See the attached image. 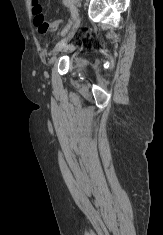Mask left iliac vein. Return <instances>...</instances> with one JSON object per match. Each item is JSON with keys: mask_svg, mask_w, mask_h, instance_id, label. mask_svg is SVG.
<instances>
[{"mask_svg": "<svg viewBox=\"0 0 163 235\" xmlns=\"http://www.w3.org/2000/svg\"><path fill=\"white\" fill-rule=\"evenodd\" d=\"M81 23V17L78 16L71 28L66 32V34L58 41L53 49V55L56 56L61 51L68 50L67 44L71 41L76 31L78 30Z\"/></svg>", "mask_w": 163, "mask_h": 235, "instance_id": "4c4485c4", "label": "left iliac vein"}]
</instances>
